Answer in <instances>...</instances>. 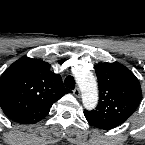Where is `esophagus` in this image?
Here are the masks:
<instances>
[{
  "label": "esophagus",
  "mask_w": 145,
  "mask_h": 145,
  "mask_svg": "<svg viewBox=\"0 0 145 145\" xmlns=\"http://www.w3.org/2000/svg\"><path fill=\"white\" fill-rule=\"evenodd\" d=\"M73 94H74V96L79 98L81 96V92H80L79 88H75L73 90Z\"/></svg>",
  "instance_id": "1"
}]
</instances>
